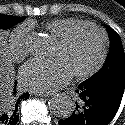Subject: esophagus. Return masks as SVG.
Returning <instances> with one entry per match:
<instances>
[{
  "label": "esophagus",
  "instance_id": "esophagus-1",
  "mask_svg": "<svg viewBox=\"0 0 125 125\" xmlns=\"http://www.w3.org/2000/svg\"><path fill=\"white\" fill-rule=\"evenodd\" d=\"M34 94L40 97H48L49 95H51V93H34Z\"/></svg>",
  "mask_w": 125,
  "mask_h": 125
}]
</instances>
